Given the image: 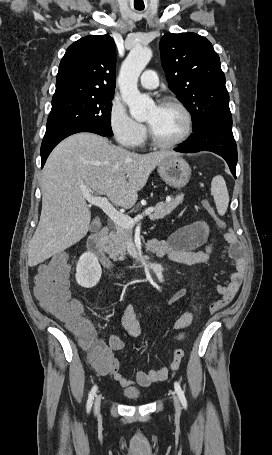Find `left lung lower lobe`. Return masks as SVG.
Listing matches in <instances>:
<instances>
[{
	"mask_svg": "<svg viewBox=\"0 0 272 455\" xmlns=\"http://www.w3.org/2000/svg\"><path fill=\"white\" fill-rule=\"evenodd\" d=\"M174 150L183 153L214 152L226 160L236 178L237 147L232 133V117L206 123L194 130V133Z\"/></svg>",
	"mask_w": 272,
	"mask_h": 455,
	"instance_id": "obj_1",
	"label": "left lung lower lobe"
}]
</instances>
